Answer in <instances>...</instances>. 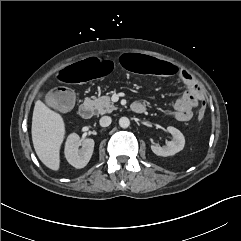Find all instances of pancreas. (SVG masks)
<instances>
[{
  "mask_svg": "<svg viewBox=\"0 0 241 241\" xmlns=\"http://www.w3.org/2000/svg\"><path fill=\"white\" fill-rule=\"evenodd\" d=\"M91 104L93 105V109L95 110L96 114H105L111 113L113 110L116 109L115 105L111 102L110 97L108 95L101 96L90 100Z\"/></svg>",
  "mask_w": 241,
  "mask_h": 241,
  "instance_id": "1",
  "label": "pancreas"
}]
</instances>
